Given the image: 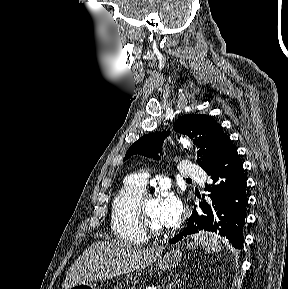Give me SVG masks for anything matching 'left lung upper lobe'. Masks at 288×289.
I'll use <instances>...</instances> for the list:
<instances>
[{
    "mask_svg": "<svg viewBox=\"0 0 288 289\" xmlns=\"http://www.w3.org/2000/svg\"><path fill=\"white\" fill-rule=\"evenodd\" d=\"M174 130L188 135L199 148L197 163L204 170L208 168L219 155L224 143L229 137L222 127L210 116L205 114H189L180 117L174 124ZM169 132L151 133L141 137L128 149L125 159L133 154L159 158L161 144Z\"/></svg>",
    "mask_w": 288,
    "mask_h": 289,
    "instance_id": "obj_1",
    "label": "left lung upper lobe"
}]
</instances>
